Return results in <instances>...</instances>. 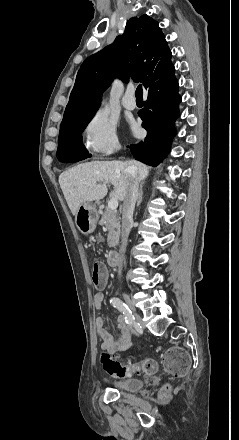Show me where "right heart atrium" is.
Wrapping results in <instances>:
<instances>
[{
    "instance_id": "obj_1",
    "label": "right heart atrium",
    "mask_w": 239,
    "mask_h": 440,
    "mask_svg": "<svg viewBox=\"0 0 239 440\" xmlns=\"http://www.w3.org/2000/svg\"><path fill=\"white\" fill-rule=\"evenodd\" d=\"M85 152L89 156H108L119 148L116 124L103 110L94 112L82 127Z\"/></svg>"
}]
</instances>
